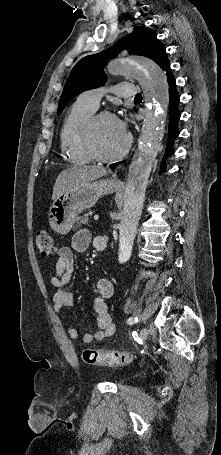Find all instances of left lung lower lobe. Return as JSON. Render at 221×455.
<instances>
[{
    "instance_id": "0a47b994",
    "label": "left lung lower lobe",
    "mask_w": 221,
    "mask_h": 455,
    "mask_svg": "<svg viewBox=\"0 0 221 455\" xmlns=\"http://www.w3.org/2000/svg\"><path fill=\"white\" fill-rule=\"evenodd\" d=\"M164 71L167 75V81L169 83V99H170V119L168 127V141L166 146V151L163 157L161 170L165 169V160L174 153L173 142L177 138L179 131L177 127L178 120L180 118V113L178 111L179 95L176 90L175 78L173 77L170 69V65L167 66ZM117 164H111V168H115Z\"/></svg>"
}]
</instances>
